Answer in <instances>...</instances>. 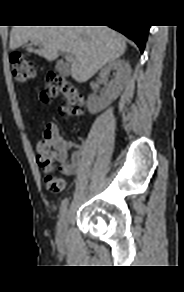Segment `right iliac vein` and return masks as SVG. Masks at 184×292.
<instances>
[{"label":"right iliac vein","mask_w":184,"mask_h":292,"mask_svg":"<svg viewBox=\"0 0 184 292\" xmlns=\"http://www.w3.org/2000/svg\"><path fill=\"white\" fill-rule=\"evenodd\" d=\"M69 212H65L61 217L57 228V240L63 242L65 240L68 228Z\"/></svg>","instance_id":"right-iliac-vein-1"}]
</instances>
